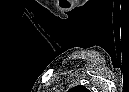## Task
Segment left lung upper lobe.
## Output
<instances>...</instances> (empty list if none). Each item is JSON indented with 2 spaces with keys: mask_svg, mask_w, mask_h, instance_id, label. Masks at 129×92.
<instances>
[{
  "mask_svg": "<svg viewBox=\"0 0 129 92\" xmlns=\"http://www.w3.org/2000/svg\"><path fill=\"white\" fill-rule=\"evenodd\" d=\"M70 92H89L84 86H76L69 90Z\"/></svg>",
  "mask_w": 129,
  "mask_h": 92,
  "instance_id": "obj_1",
  "label": "left lung upper lobe"
}]
</instances>
